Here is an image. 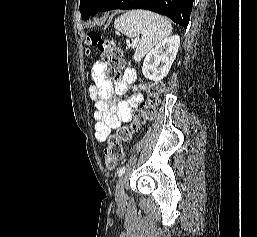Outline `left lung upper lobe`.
<instances>
[{
  "label": "left lung upper lobe",
  "mask_w": 257,
  "mask_h": 237,
  "mask_svg": "<svg viewBox=\"0 0 257 237\" xmlns=\"http://www.w3.org/2000/svg\"><path fill=\"white\" fill-rule=\"evenodd\" d=\"M109 0H80V12L83 19L94 16Z\"/></svg>",
  "instance_id": "left-lung-upper-lobe-1"
}]
</instances>
